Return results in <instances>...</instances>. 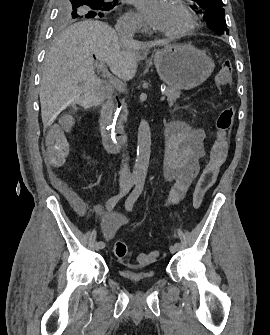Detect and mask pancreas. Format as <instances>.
Segmentation results:
<instances>
[{
	"label": "pancreas",
	"instance_id": "1",
	"mask_svg": "<svg viewBox=\"0 0 270 335\" xmlns=\"http://www.w3.org/2000/svg\"><path fill=\"white\" fill-rule=\"evenodd\" d=\"M165 96H167V102L169 106H173L175 104L176 100L180 98V90H172V88H166L164 92ZM127 120V114H121L119 116L118 124H117V132H123L124 126H122L123 122H126Z\"/></svg>",
	"mask_w": 270,
	"mask_h": 335
}]
</instances>
